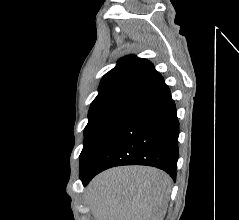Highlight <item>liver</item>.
<instances>
[{
  "label": "liver",
  "mask_w": 239,
  "mask_h": 220,
  "mask_svg": "<svg viewBox=\"0 0 239 220\" xmlns=\"http://www.w3.org/2000/svg\"><path fill=\"white\" fill-rule=\"evenodd\" d=\"M171 182L152 167L111 168L89 183L88 204L95 220H163Z\"/></svg>",
  "instance_id": "6515ba94"
}]
</instances>
